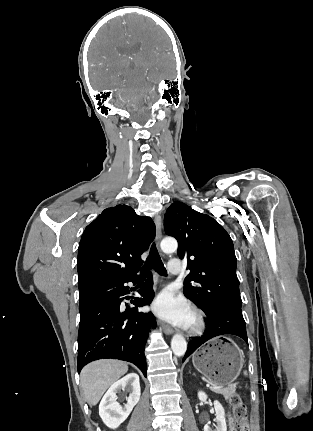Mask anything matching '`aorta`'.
Segmentation results:
<instances>
[{
  "mask_svg": "<svg viewBox=\"0 0 313 431\" xmlns=\"http://www.w3.org/2000/svg\"><path fill=\"white\" fill-rule=\"evenodd\" d=\"M160 247L164 253H173L177 250L178 244L174 238H164ZM171 348L175 356H183L187 350V342L181 334H175L171 340Z\"/></svg>",
  "mask_w": 313,
  "mask_h": 431,
  "instance_id": "762f6f07",
  "label": "aorta"
}]
</instances>
